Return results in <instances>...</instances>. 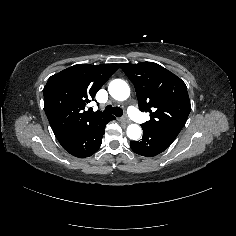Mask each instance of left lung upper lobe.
Masks as SVG:
<instances>
[{
  "instance_id": "5c2ea615",
  "label": "left lung upper lobe",
  "mask_w": 236,
  "mask_h": 236,
  "mask_svg": "<svg viewBox=\"0 0 236 236\" xmlns=\"http://www.w3.org/2000/svg\"><path fill=\"white\" fill-rule=\"evenodd\" d=\"M120 66L134 84L140 111L150 112L151 119L142 125L179 133L191 111L185 83L156 63Z\"/></svg>"
}]
</instances>
